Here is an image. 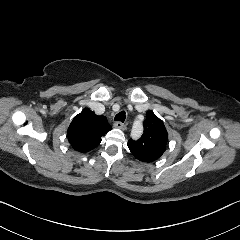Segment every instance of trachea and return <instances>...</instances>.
<instances>
[{
	"mask_svg": "<svg viewBox=\"0 0 240 240\" xmlns=\"http://www.w3.org/2000/svg\"><path fill=\"white\" fill-rule=\"evenodd\" d=\"M126 119V113L124 111L119 112L116 116H115V121H120V122H124Z\"/></svg>",
	"mask_w": 240,
	"mask_h": 240,
	"instance_id": "3493384b",
	"label": "trachea"
}]
</instances>
